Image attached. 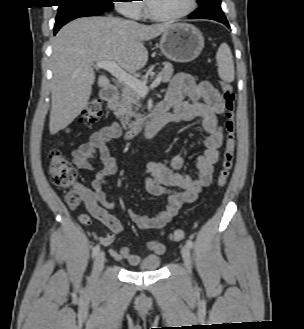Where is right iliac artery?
<instances>
[{
	"instance_id": "right-iliac-artery-1",
	"label": "right iliac artery",
	"mask_w": 304,
	"mask_h": 329,
	"mask_svg": "<svg viewBox=\"0 0 304 329\" xmlns=\"http://www.w3.org/2000/svg\"><path fill=\"white\" fill-rule=\"evenodd\" d=\"M99 251H100V246L99 245H96L93 248V251H92V258H95L97 256V254L99 253Z\"/></svg>"
}]
</instances>
